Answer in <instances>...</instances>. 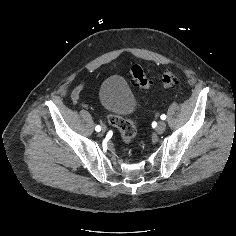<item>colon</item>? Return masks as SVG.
I'll return each mask as SVG.
<instances>
[{
  "label": "colon",
  "mask_w": 236,
  "mask_h": 236,
  "mask_svg": "<svg viewBox=\"0 0 236 236\" xmlns=\"http://www.w3.org/2000/svg\"><path fill=\"white\" fill-rule=\"evenodd\" d=\"M130 76L133 82L139 87L144 89H150L152 87V81L141 66H132L130 69ZM161 83L164 88L173 89L178 85V78L171 70L167 69L161 75ZM108 121L119 131L123 142L130 145L136 135L134 124L129 120L112 113L108 115Z\"/></svg>",
  "instance_id": "obj_1"
}]
</instances>
